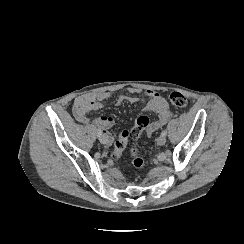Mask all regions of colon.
<instances>
[{
	"instance_id": "5ec220e1",
	"label": "colon",
	"mask_w": 244,
	"mask_h": 244,
	"mask_svg": "<svg viewBox=\"0 0 244 244\" xmlns=\"http://www.w3.org/2000/svg\"><path fill=\"white\" fill-rule=\"evenodd\" d=\"M167 99L168 102L175 107L184 108L188 105L187 97L178 91L167 94ZM149 122L150 119L147 115H141L134 123L130 132L127 130L122 131L114 143L113 149L110 153V160L118 161L128 146L129 135L131 138L137 139L140 137L143 130L148 126ZM131 164L135 168L141 169L145 166V161L141 156L137 155L136 153H132Z\"/></svg>"
}]
</instances>
